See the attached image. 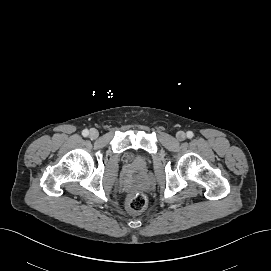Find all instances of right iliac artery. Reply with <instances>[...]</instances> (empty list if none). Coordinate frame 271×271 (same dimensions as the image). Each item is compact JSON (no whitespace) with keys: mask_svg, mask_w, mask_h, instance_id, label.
<instances>
[{"mask_svg":"<svg viewBox=\"0 0 271 271\" xmlns=\"http://www.w3.org/2000/svg\"><path fill=\"white\" fill-rule=\"evenodd\" d=\"M82 135H83L84 137H87V136L89 135V131H88L87 129L83 130V131H82Z\"/></svg>","mask_w":271,"mask_h":271,"instance_id":"obj_1","label":"right iliac artery"}]
</instances>
